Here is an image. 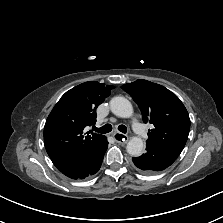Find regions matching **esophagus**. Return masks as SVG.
Masks as SVG:
<instances>
[{"label":"esophagus","mask_w":223,"mask_h":223,"mask_svg":"<svg viewBox=\"0 0 223 223\" xmlns=\"http://www.w3.org/2000/svg\"><path fill=\"white\" fill-rule=\"evenodd\" d=\"M113 138L119 143H127L128 139H129V137L127 135L122 134L120 132H115L113 134Z\"/></svg>","instance_id":"esophagus-1"}]
</instances>
